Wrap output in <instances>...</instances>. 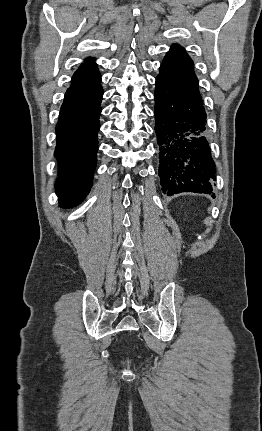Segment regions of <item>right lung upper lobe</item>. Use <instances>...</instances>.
<instances>
[{
    "instance_id": "cb5924a9",
    "label": "right lung upper lobe",
    "mask_w": 262,
    "mask_h": 431,
    "mask_svg": "<svg viewBox=\"0 0 262 431\" xmlns=\"http://www.w3.org/2000/svg\"><path fill=\"white\" fill-rule=\"evenodd\" d=\"M101 77L92 58L87 59L74 73L70 88L92 87L100 85Z\"/></svg>"
}]
</instances>
